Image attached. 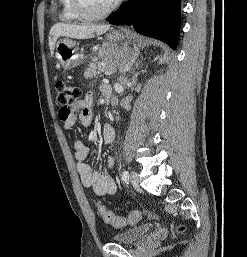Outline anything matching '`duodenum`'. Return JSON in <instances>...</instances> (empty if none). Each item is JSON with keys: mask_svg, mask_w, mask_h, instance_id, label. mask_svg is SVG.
<instances>
[{"mask_svg": "<svg viewBox=\"0 0 247 257\" xmlns=\"http://www.w3.org/2000/svg\"><path fill=\"white\" fill-rule=\"evenodd\" d=\"M101 92L105 97L106 102L109 104L111 101L112 88L109 84H103L101 86Z\"/></svg>", "mask_w": 247, "mask_h": 257, "instance_id": "duodenum-1", "label": "duodenum"}]
</instances>
